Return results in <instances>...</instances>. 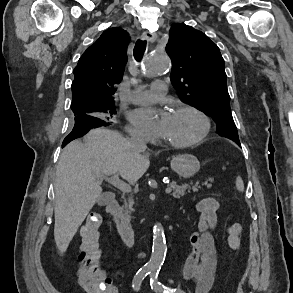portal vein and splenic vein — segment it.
Instances as JSON below:
<instances>
[{
  "mask_svg": "<svg viewBox=\"0 0 293 293\" xmlns=\"http://www.w3.org/2000/svg\"><path fill=\"white\" fill-rule=\"evenodd\" d=\"M100 180H106L108 183L112 184L116 188L120 189L123 192L129 193L131 192V187L123 182L122 180L119 179L117 175H111V176H106V175H99ZM172 191L170 187H167L165 189V192L168 194Z\"/></svg>",
  "mask_w": 293,
  "mask_h": 293,
  "instance_id": "1",
  "label": "portal vein and splenic vein"
}]
</instances>
